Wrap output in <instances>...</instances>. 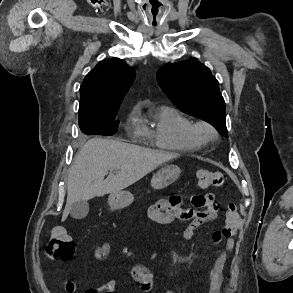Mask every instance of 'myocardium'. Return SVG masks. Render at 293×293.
<instances>
[{
    "label": "myocardium",
    "instance_id": "obj_1",
    "mask_svg": "<svg viewBox=\"0 0 293 293\" xmlns=\"http://www.w3.org/2000/svg\"><path fill=\"white\" fill-rule=\"evenodd\" d=\"M191 132L193 138L199 143L203 144L211 139L215 138L217 135L215 127L204 120H199L192 123Z\"/></svg>",
    "mask_w": 293,
    "mask_h": 293
}]
</instances>
